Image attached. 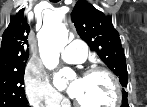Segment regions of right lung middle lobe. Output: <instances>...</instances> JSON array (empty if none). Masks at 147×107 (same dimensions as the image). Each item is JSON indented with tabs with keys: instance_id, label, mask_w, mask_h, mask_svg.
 Segmentation results:
<instances>
[{
	"instance_id": "obj_1",
	"label": "right lung middle lobe",
	"mask_w": 147,
	"mask_h": 107,
	"mask_svg": "<svg viewBox=\"0 0 147 107\" xmlns=\"http://www.w3.org/2000/svg\"><path fill=\"white\" fill-rule=\"evenodd\" d=\"M25 68L0 74V107H24L28 101L24 92Z\"/></svg>"
}]
</instances>
